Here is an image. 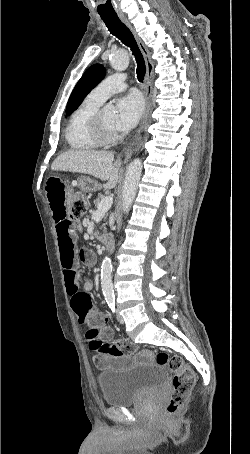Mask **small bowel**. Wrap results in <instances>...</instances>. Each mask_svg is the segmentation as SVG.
<instances>
[{
    "label": "small bowel",
    "instance_id": "small-bowel-1",
    "mask_svg": "<svg viewBox=\"0 0 250 454\" xmlns=\"http://www.w3.org/2000/svg\"><path fill=\"white\" fill-rule=\"evenodd\" d=\"M72 190L70 182L57 177L49 178L46 183V194L56 225L67 293L79 322L86 323L92 316L106 317V315L101 313L90 300L89 293L94 288L93 282L90 280L82 282V271L79 265H93L95 255L89 249L76 248V237L77 232L81 229V223L67 216V205ZM93 360L100 369H107L118 364L115 359L103 355H95Z\"/></svg>",
    "mask_w": 250,
    "mask_h": 454
}]
</instances>
